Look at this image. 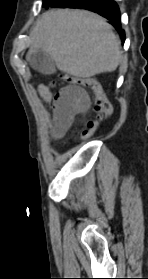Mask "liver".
<instances>
[{
  "instance_id": "1",
  "label": "liver",
  "mask_w": 148,
  "mask_h": 279,
  "mask_svg": "<svg viewBox=\"0 0 148 279\" xmlns=\"http://www.w3.org/2000/svg\"><path fill=\"white\" fill-rule=\"evenodd\" d=\"M40 49L52 57L60 71L79 78L115 71L122 54L105 19L70 9L51 10L37 20L28 54Z\"/></svg>"
}]
</instances>
